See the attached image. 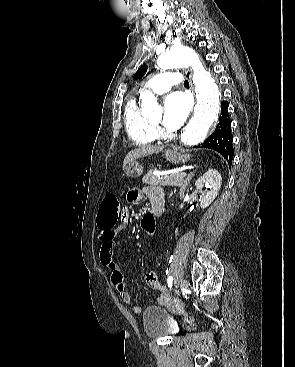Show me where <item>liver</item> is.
Listing matches in <instances>:
<instances>
[{
	"mask_svg": "<svg viewBox=\"0 0 295 367\" xmlns=\"http://www.w3.org/2000/svg\"><path fill=\"white\" fill-rule=\"evenodd\" d=\"M163 146H140L134 150H131L123 161V168L130 162L146 157L152 154H158L163 150Z\"/></svg>",
	"mask_w": 295,
	"mask_h": 367,
	"instance_id": "liver-1",
	"label": "liver"
}]
</instances>
